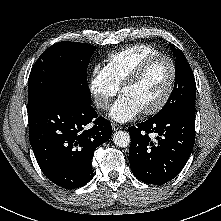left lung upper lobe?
<instances>
[{
    "instance_id": "left-lung-upper-lobe-1",
    "label": "left lung upper lobe",
    "mask_w": 221,
    "mask_h": 221,
    "mask_svg": "<svg viewBox=\"0 0 221 221\" xmlns=\"http://www.w3.org/2000/svg\"><path fill=\"white\" fill-rule=\"evenodd\" d=\"M176 57L175 84L164 107L152 118L161 119L182 110L195 111L196 83L190 65L181 50L170 44Z\"/></svg>"
}]
</instances>
